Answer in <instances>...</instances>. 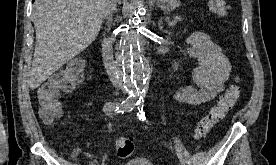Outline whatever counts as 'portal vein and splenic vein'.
I'll use <instances>...</instances> for the list:
<instances>
[{"label": "portal vein and splenic vein", "instance_id": "18ae733b", "mask_svg": "<svg viewBox=\"0 0 276 165\" xmlns=\"http://www.w3.org/2000/svg\"><path fill=\"white\" fill-rule=\"evenodd\" d=\"M176 23H177V21L174 19L172 21H169L168 25L172 26V25H175Z\"/></svg>", "mask_w": 276, "mask_h": 165}]
</instances>
